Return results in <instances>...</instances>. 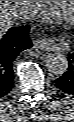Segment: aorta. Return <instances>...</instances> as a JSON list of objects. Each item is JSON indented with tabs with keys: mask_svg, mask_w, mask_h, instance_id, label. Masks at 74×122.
<instances>
[{
	"mask_svg": "<svg viewBox=\"0 0 74 122\" xmlns=\"http://www.w3.org/2000/svg\"><path fill=\"white\" fill-rule=\"evenodd\" d=\"M47 69L55 74L62 75L68 70V59L62 53H52L46 58Z\"/></svg>",
	"mask_w": 74,
	"mask_h": 122,
	"instance_id": "1",
	"label": "aorta"
}]
</instances>
